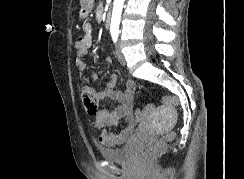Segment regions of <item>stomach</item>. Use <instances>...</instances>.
Here are the masks:
<instances>
[{
	"label": "stomach",
	"mask_w": 244,
	"mask_h": 179,
	"mask_svg": "<svg viewBox=\"0 0 244 179\" xmlns=\"http://www.w3.org/2000/svg\"><path fill=\"white\" fill-rule=\"evenodd\" d=\"M92 2L93 0H81V10H80V18H88V14H90L92 10Z\"/></svg>",
	"instance_id": "0dacf381"
}]
</instances>
